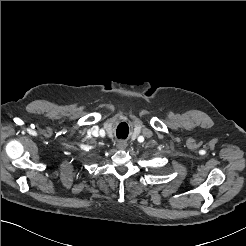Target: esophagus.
I'll list each match as a JSON object with an SVG mask.
<instances>
[{"instance_id":"1","label":"esophagus","mask_w":246,"mask_h":246,"mask_svg":"<svg viewBox=\"0 0 246 246\" xmlns=\"http://www.w3.org/2000/svg\"><path fill=\"white\" fill-rule=\"evenodd\" d=\"M126 147H127V143L125 141L120 140L117 142V148L119 150H124V149H126Z\"/></svg>"}]
</instances>
